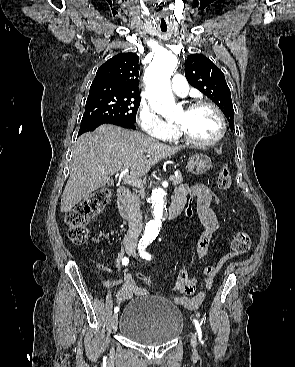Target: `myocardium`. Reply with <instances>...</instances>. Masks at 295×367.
Wrapping results in <instances>:
<instances>
[{
	"instance_id": "myocardium-1",
	"label": "myocardium",
	"mask_w": 295,
	"mask_h": 367,
	"mask_svg": "<svg viewBox=\"0 0 295 367\" xmlns=\"http://www.w3.org/2000/svg\"><path fill=\"white\" fill-rule=\"evenodd\" d=\"M202 106H206L211 108L217 115L219 122H220V132L219 134L211 139V140H207V141H200L197 140L195 138H193L182 126H180L179 124L176 125L177 127V131L178 134L189 144L193 145V146H197V147H208V146H213L215 144H217L218 142H220L226 133L227 130V125H226V120L225 117L222 113V111L219 109V107L217 105H215L214 103L207 101V100H197L194 101L192 103H190L187 106V110H192L198 107H202Z\"/></svg>"
}]
</instances>
